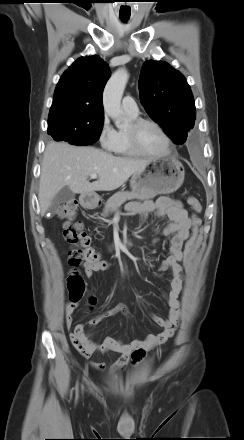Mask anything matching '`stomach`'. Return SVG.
Wrapping results in <instances>:
<instances>
[{
    "instance_id": "0dacf381",
    "label": "stomach",
    "mask_w": 244,
    "mask_h": 440,
    "mask_svg": "<svg viewBox=\"0 0 244 440\" xmlns=\"http://www.w3.org/2000/svg\"><path fill=\"white\" fill-rule=\"evenodd\" d=\"M184 176V167L176 158L152 159L144 169L132 175L130 187L140 195L171 194L181 187Z\"/></svg>"
}]
</instances>
